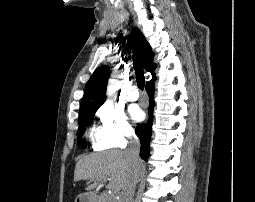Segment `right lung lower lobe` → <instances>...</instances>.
I'll return each instance as SVG.
<instances>
[{
    "label": "right lung lower lobe",
    "instance_id": "obj_1",
    "mask_svg": "<svg viewBox=\"0 0 255 202\" xmlns=\"http://www.w3.org/2000/svg\"><path fill=\"white\" fill-rule=\"evenodd\" d=\"M146 91L150 99V105H149L150 120L146 124L138 125L135 130V133L139 137L141 142L140 157L144 160H147V158L149 157V151H150L149 143L151 140L152 113L154 108V83L153 82L146 84Z\"/></svg>",
    "mask_w": 255,
    "mask_h": 202
}]
</instances>
